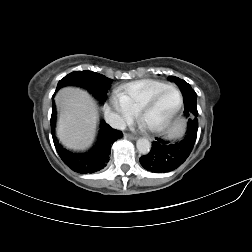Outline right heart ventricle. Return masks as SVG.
<instances>
[{
  "mask_svg": "<svg viewBox=\"0 0 252 252\" xmlns=\"http://www.w3.org/2000/svg\"><path fill=\"white\" fill-rule=\"evenodd\" d=\"M168 87L170 85L159 80L143 79L121 85L117 90L127 98L136 111L145 101Z\"/></svg>",
  "mask_w": 252,
  "mask_h": 252,
  "instance_id": "obj_1",
  "label": "right heart ventricle"
}]
</instances>
